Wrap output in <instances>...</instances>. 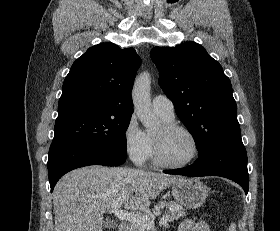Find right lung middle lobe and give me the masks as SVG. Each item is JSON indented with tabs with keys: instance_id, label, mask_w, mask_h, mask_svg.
<instances>
[{
	"instance_id": "dd1d6c3e",
	"label": "right lung middle lobe",
	"mask_w": 280,
	"mask_h": 231,
	"mask_svg": "<svg viewBox=\"0 0 280 231\" xmlns=\"http://www.w3.org/2000/svg\"><path fill=\"white\" fill-rule=\"evenodd\" d=\"M131 115H96L56 120L53 141L87 144L126 157V135Z\"/></svg>"
}]
</instances>
